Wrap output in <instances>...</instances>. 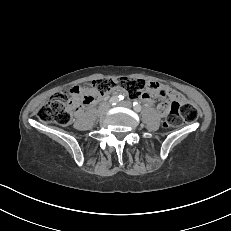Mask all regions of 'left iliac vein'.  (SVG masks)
Listing matches in <instances>:
<instances>
[{
    "label": "left iliac vein",
    "instance_id": "obj_1",
    "mask_svg": "<svg viewBox=\"0 0 231 231\" xmlns=\"http://www.w3.org/2000/svg\"><path fill=\"white\" fill-rule=\"evenodd\" d=\"M119 106L131 108L132 107V103L130 101H124V102H121L119 104Z\"/></svg>",
    "mask_w": 231,
    "mask_h": 231
}]
</instances>
